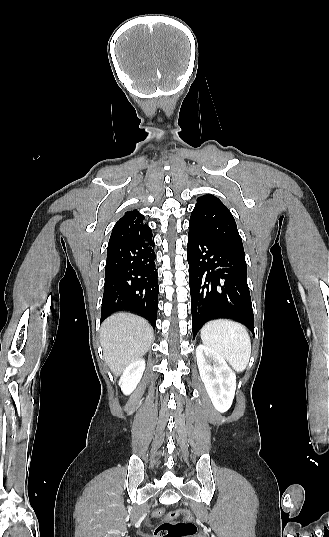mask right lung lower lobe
<instances>
[{"label":"right lung lower lobe","mask_w":329,"mask_h":537,"mask_svg":"<svg viewBox=\"0 0 329 537\" xmlns=\"http://www.w3.org/2000/svg\"><path fill=\"white\" fill-rule=\"evenodd\" d=\"M152 236L150 229L108 245L101 321L130 310L156 325L159 286Z\"/></svg>","instance_id":"obj_1"}]
</instances>
